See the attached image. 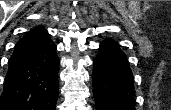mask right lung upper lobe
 I'll return each mask as SVG.
<instances>
[{
	"label": "right lung upper lobe",
	"instance_id": "cb5924a9",
	"mask_svg": "<svg viewBox=\"0 0 171 110\" xmlns=\"http://www.w3.org/2000/svg\"><path fill=\"white\" fill-rule=\"evenodd\" d=\"M47 34V31L44 29V27L40 26V27H37V28H34L32 29L28 35H25L23 37V39H20L16 45H15V48H20L28 43H31L35 40H37L38 38L44 36Z\"/></svg>",
	"mask_w": 171,
	"mask_h": 110
}]
</instances>
